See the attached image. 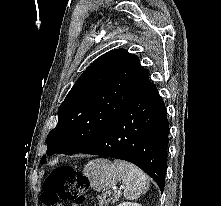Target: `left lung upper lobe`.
<instances>
[{
    "label": "left lung upper lobe",
    "instance_id": "left-lung-upper-lobe-1",
    "mask_svg": "<svg viewBox=\"0 0 221 206\" xmlns=\"http://www.w3.org/2000/svg\"><path fill=\"white\" fill-rule=\"evenodd\" d=\"M139 58L116 49L97 58L79 77L60 106L58 123L47 136V152L73 155L95 141L151 86ZM45 156L40 163H45Z\"/></svg>",
    "mask_w": 221,
    "mask_h": 206
}]
</instances>
